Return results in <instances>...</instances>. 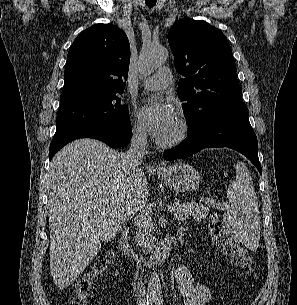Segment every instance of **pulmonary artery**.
Here are the masks:
<instances>
[{
	"label": "pulmonary artery",
	"mask_w": 297,
	"mask_h": 305,
	"mask_svg": "<svg viewBox=\"0 0 297 305\" xmlns=\"http://www.w3.org/2000/svg\"><path fill=\"white\" fill-rule=\"evenodd\" d=\"M172 73L168 68H160L155 74L142 82V86L151 91L162 90L172 83Z\"/></svg>",
	"instance_id": "1"
}]
</instances>
